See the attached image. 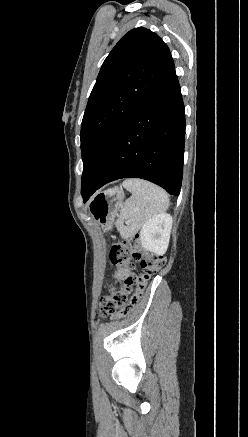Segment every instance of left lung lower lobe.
<instances>
[{"label":"left lung lower lobe","mask_w":248,"mask_h":437,"mask_svg":"<svg viewBox=\"0 0 248 437\" xmlns=\"http://www.w3.org/2000/svg\"><path fill=\"white\" fill-rule=\"evenodd\" d=\"M185 135V113L173 68L124 125L117 142L84 201L103 185L137 177L179 195Z\"/></svg>","instance_id":"obj_1"}]
</instances>
